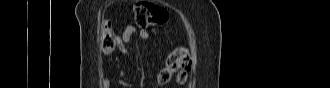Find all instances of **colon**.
Wrapping results in <instances>:
<instances>
[{"instance_id": "colon-1", "label": "colon", "mask_w": 330, "mask_h": 88, "mask_svg": "<svg viewBox=\"0 0 330 88\" xmlns=\"http://www.w3.org/2000/svg\"><path fill=\"white\" fill-rule=\"evenodd\" d=\"M134 21L141 28H153L166 21L164 8L151 2L141 1L134 6ZM118 41L117 34L109 23L101 28V49L104 53H112ZM192 68V58L186 47L174 48L166 57L163 67L158 73V82L168 84L177 75L179 81L184 82Z\"/></svg>"}]
</instances>
